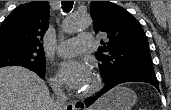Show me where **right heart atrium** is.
<instances>
[{
  "instance_id": "obj_1",
  "label": "right heart atrium",
  "mask_w": 171,
  "mask_h": 110,
  "mask_svg": "<svg viewBox=\"0 0 171 110\" xmlns=\"http://www.w3.org/2000/svg\"><path fill=\"white\" fill-rule=\"evenodd\" d=\"M50 84L52 85V87H53L55 90H57V91L61 90V84H60L58 78H56V77H51V78H50Z\"/></svg>"
}]
</instances>
